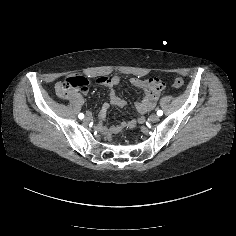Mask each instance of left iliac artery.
Segmentation results:
<instances>
[{
  "instance_id": "obj_1",
  "label": "left iliac artery",
  "mask_w": 236,
  "mask_h": 236,
  "mask_svg": "<svg viewBox=\"0 0 236 236\" xmlns=\"http://www.w3.org/2000/svg\"><path fill=\"white\" fill-rule=\"evenodd\" d=\"M157 115H158V116H162V115H163V111H162V110H158V111H157Z\"/></svg>"
}]
</instances>
